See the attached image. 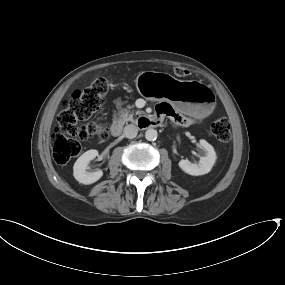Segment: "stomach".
<instances>
[{
	"label": "stomach",
	"instance_id": "obj_1",
	"mask_svg": "<svg viewBox=\"0 0 285 285\" xmlns=\"http://www.w3.org/2000/svg\"><path fill=\"white\" fill-rule=\"evenodd\" d=\"M136 88L146 99L166 100L193 117H206L215 107V95L209 86L200 81L179 80L163 72H141L136 78Z\"/></svg>",
	"mask_w": 285,
	"mask_h": 285
}]
</instances>
